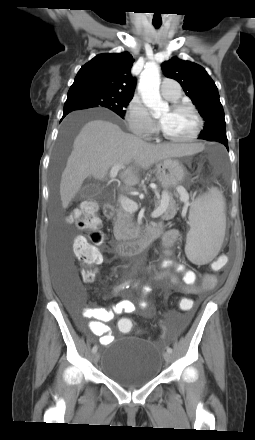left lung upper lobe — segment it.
I'll list each match as a JSON object with an SVG mask.
<instances>
[{
  "mask_svg": "<svg viewBox=\"0 0 255 440\" xmlns=\"http://www.w3.org/2000/svg\"><path fill=\"white\" fill-rule=\"evenodd\" d=\"M164 74L177 80L205 120L199 139L228 143L224 110L218 89L206 70L200 65L172 58L162 64Z\"/></svg>",
  "mask_w": 255,
  "mask_h": 440,
  "instance_id": "5c2ea615",
  "label": "left lung upper lobe"
}]
</instances>
